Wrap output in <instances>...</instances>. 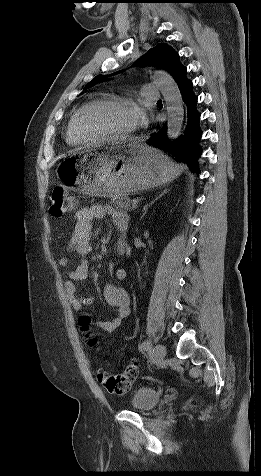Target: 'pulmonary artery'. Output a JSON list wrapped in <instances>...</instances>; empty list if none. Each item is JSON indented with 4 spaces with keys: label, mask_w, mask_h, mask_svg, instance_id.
<instances>
[{
    "label": "pulmonary artery",
    "mask_w": 261,
    "mask_h": 476,
    "mask_svg": "<svg viewBox=\"0 0 261 476\" xmlns=\"http://www.w3.org/2000/svg\"><path fill=\"white\" fill-rule=\"evenodd\" d=\"M142 96L148 101H157L160 99V93L154 85H144L142 88Z\"/></svg>",
    "instance_id": "obj_1"
}]
</instances>
